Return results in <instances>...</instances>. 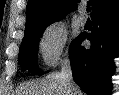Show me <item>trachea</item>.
Here are the masks:
<instances>
[{
    "instance_id": "obj_1",
    "label": "trachea",
    "mask_w": 119,
    "mask_h": 95,
    "mask_svg": "<svg viewBox=\"0 0 119 95\" xmlns=\"http://www.w3.org/2000/svg\"><path fill=\"white\" fill-rule=\"evenodd\" d=\"M90 11H91L90 5H87V12H90Z\"/></svg>"
}]
</instances>
